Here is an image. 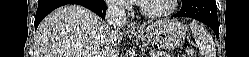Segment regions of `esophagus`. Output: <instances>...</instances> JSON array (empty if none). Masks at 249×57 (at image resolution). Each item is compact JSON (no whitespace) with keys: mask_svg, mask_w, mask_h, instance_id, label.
<instances>
[{"mask_svg":"<svg viewBox=\"0 0 249 57\" xmlns=\"http://www.w3.org/2000/svg\"><path fill=\"white\" fill-rule=\"evenodd\" d=\"M128 30H129L130 32H135V31L140 30V27H139V25H138L136 22H131V23H129V25H128Z\"/></svg>","mask_w":249,"mask_h":57,"instance_id":"obj_1","label":"esophagus"}]
</instances>
